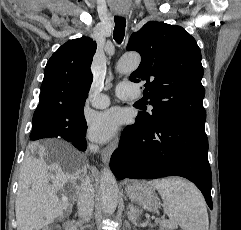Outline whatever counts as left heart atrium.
I'll use <instances>...</instances> for the list:
<instances>
[{"label": "left heart atrium", "instance_id": "left-heart-atrium-1", "mask_svg": "<svg viewBox=\"0 0 241 230\" xmlns=\"http://www.w3.org/2000/svg\"><path fill=\"white\" fill-rule=\"evenodd\" d=\"M120 122V113L116 108L96 113L89 124V137L97 142H106L115 135Z\"/></svg>", "mask_w": 241, "mask_h": 230}]
</instances>
